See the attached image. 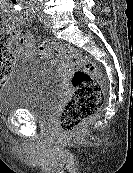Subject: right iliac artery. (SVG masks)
I'll return each instance as SVG.
<instances>
[{"instance_id":"right-iliac-artery-1","label":"right iliac artery","mask_w":133,"mask_h":173,"mask_svg":"<svg viewBox=\"0 0 133 173\" xmlns=\"http://www.w3.org/2000/svg\"><path fill=\"white\" fill-rule=\"evenodd\" d=\"M32 15H36V11H34V9H33Z\"/></svg>"}]
</instances>
